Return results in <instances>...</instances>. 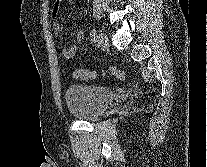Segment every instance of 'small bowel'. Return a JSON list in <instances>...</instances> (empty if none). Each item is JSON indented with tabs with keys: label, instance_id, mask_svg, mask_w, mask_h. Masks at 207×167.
Instances as JSON below:
<instances>
[{
	"label": "small bowel",
	"instance_id": "c3829d8e",
	"mask_svg": "<svg viewBox=\"0 0 207 167\" xmlns=\"http://www.w3.org/2000/svg\"><path fill=\"white\" fill-rule=\"evenodd\" d=\"M59 1L61 0H58L54 9H53V12H52V15H53V28L54 30L57 32V33H61L62 32V26L60 24L59 21H57V16L59 14ZM84 37V33L82 30H79L77 33H76V38L78 41H81ZM78 52V48L74 45L72 46H63L62 48V57L65 59V60H69L71 58H73Z\"/></svg>",
	"mask_w": 207,
	"mask_h": 167
}]
</instances>
